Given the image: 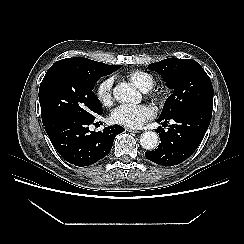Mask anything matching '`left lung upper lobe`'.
<instances>
[{
    "label": "left lung upper lobe",
    "instance_id": "1",
    "mask_svg": "<svg viewBox=\"0 0 244 244\" xmlns=\"http://www.w3.org/2000/svg\"><path fill=\"white\" fill-rule=\"evenodd\" d=\"M148 69L160 73L173 90L159 118H169L189 108L212 111L213 86L207 73L195 60L168 58L149 64Z\"/></svg>",
    "mask_w": 244,
    "mask_h": 244
}]
</instances>
